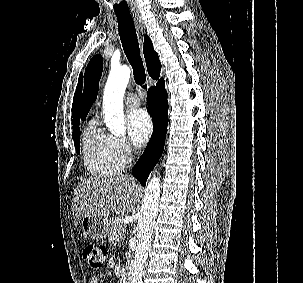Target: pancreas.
I'll return each instance as SVG.
<instances>
[{"label":"pancreas","mask_w":303,"mask_h":283,"mask_svg":"<svg viewBox=\"0 0 303 283\" xmlns=\"http://www.w3.org/2000/svg\"><path fill=\"white\" fill-rule=\"evenodd\" d=\"M123 229L124 225L115 219L113 221L110 234L108 235L109 242L112 244L119 243L124 235V232H122Z\"/></svg>","instance_id":"pancreas-1"}]
</instances>
